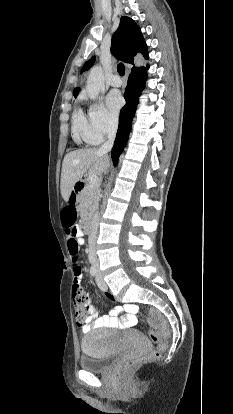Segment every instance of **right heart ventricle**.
I'll list each match as a JSON object with an SVG mask.
<instances>
[{
  "label": "right heart ventricle",
  "mask_w": 233,
  "mask_h": 414,
  "mask_svg": "<svg viewBox=\"0 0 233 414\" xmlns=\"http://www.w3.org/2000/svg\"><path fill=\"white\" fill-rule=\"evenodd\" d=\"M72 134L75 142L95 144L92 140L89 118L78 108L72 116Z\"/></svg>",
  "instance_id": "right-heart-ventricle-1"
}]
</instances>
